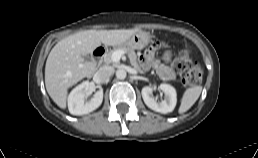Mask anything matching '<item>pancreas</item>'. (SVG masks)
<instances>
[{"label":"pancreas","mask_w":258,"mask_h":158,"mask_svg":"<svg viewBox=\"0 0 258 158\" xmlns=\"http://www.w3.org/2000/svg\"><path fill=\"white\" fill-rule=\"evenodd\" d=\"M116 51H124V53H126L128 55L132 66L134 68H136L139 72H141V73L143 72L137 63V55H136L134 49L129 48V47H114L113 50H110L109 52H107L104 55L105 64H107V65L111 64L113 66H116L118 64V62H114L112 60V54Z\"/></svg>","instance_id":"1"}]
</instances>
